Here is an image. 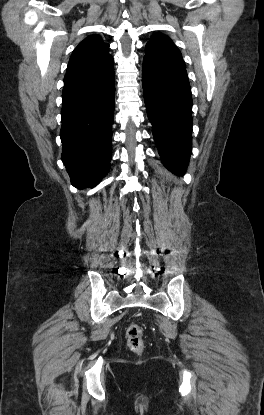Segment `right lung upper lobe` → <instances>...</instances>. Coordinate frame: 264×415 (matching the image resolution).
Here are the masks:
<instances>
[{
    "instance_id": "cb5924a9",
    "label": "right lung upper lobe",
    "mask_w": 264,
    "mask_h": 415,
    "mask_svg": "<svg viewBox=\"0 0 264 415\" xmlns=\"http://www.w3.org/2000/svg\"><path fill=\"white\" fill-rule=\"evenodd\" d=\"M109 45L99 35H90L74 49L64 77V85L99 79L114 71Z\"/></svg>"
}]
</instances>
